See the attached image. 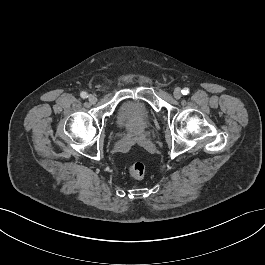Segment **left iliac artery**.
<instances>
[{"instance_id":"left-iliac-artery-1","label":"left iliac artery","mask_w":265,"mask_h":265,"mask_svg":"<svg viewBox=\"0 0 265 265\" xmlns=\"http://www.w3.org/2000/svg\"><path fill=\"white\" fill-rule=\"evenodd\" d=\"M183 95H187L189 93V89L188 88H184L182 91Z\"/></svg>"}]
</instances>
